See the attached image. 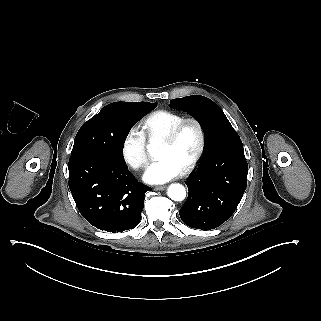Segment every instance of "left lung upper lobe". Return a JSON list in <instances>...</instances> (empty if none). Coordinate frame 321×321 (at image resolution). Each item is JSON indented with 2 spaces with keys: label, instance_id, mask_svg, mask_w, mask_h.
Listing matches in <instances>:
<instances>
[{
  "label": "left lung upper lobe",
  "instance_id": "1",
  "mask_svg": "<svg viewBox=\"0 0 321 321\" xmlns=\"http://www.w3.org/2000/svg\"><path fill=\"white\" fill-rule=\"evenodd\" d=\"M169 106L187 112L200 123L205 137L203 156L223 142L240 139L221 108L206 97L191 95L173 99Z\"/></svg>",
  "mask_w": 321,
  "mask_h": 321
}]
</instances>
